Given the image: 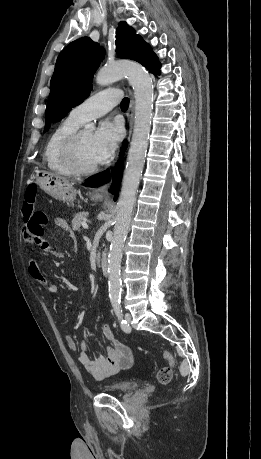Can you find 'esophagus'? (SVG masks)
<instances>
[{"mask_svg":"<svg viewBox=\"0 0 261 459\" xmlns=\"http://www.w3.org/2000/svg\"><path fill=\"white\" fill-rule=\"evenodd\" d=\"M131 94V100L129 104V108L127 111V121H128V139H130L131 133H132V128H133V122H134V110H135V100H134V94L132 90H130ZM112 181H109L99 187H96L93 191L92 194L97 196V197H107L108 196V190L111 186Z\"/></svg>","mask_w":261,"mask_h":459,"instance_id":"1","label":"esophagus"}]
</instances>
